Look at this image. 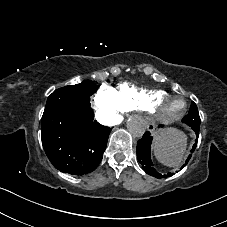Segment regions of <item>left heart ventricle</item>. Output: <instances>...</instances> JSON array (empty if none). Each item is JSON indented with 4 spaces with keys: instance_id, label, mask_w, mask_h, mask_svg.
Returning <instances> with one entry per match:
<instances>
[{
    "instance_id": "1",
    "label": "left heart ventricle",
    "mask_w": 227,
    "mask_h": 227,
    "mask_svg": "<svg viewBox=\"0 0 227 227\" xmlns=\"http://www.w3.org/2000/svg\"><path fill=\"white\" fill-rule=\"evenodd\" d=\"M180 106L179 102L165 101L162 105L163 110H171Z\"/></svg>"
}]
</instances>
